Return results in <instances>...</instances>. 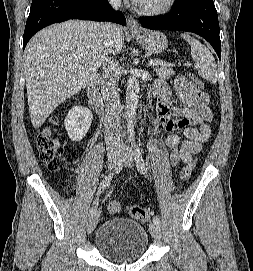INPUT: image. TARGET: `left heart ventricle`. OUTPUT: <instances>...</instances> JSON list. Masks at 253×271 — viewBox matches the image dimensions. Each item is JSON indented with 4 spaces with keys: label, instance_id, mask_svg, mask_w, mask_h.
Masks as SVG:
<instances>
[{
    "label": "left heart ventricle",
    "instance_id": "1",
    "mask_svg": "<svg viewBox=\"0 0 253 271\" xmlns=\"http://www.w3.org/2000/svg\"><path fill=\"white\" fill-rule=\"evenodd\" d=\"M164 0H143L140 6L148 7V6H157L163 3Z\"/></svg>",
    "mask_w": 253,
    "mask_h": 271
}]
</instances>
